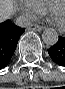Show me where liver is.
<instances>
[{"label":"liver","instance_id":"6515ba94","mask_svg":"<svg viewBox=\"0 0 65 89\" xmlns=\"http://www.w3.org/2000/svg\"><path fill=\"white\" fill-rule=\"evenodd\" d=\"M13 0H0V20L9 19L15 13Z\"/></svg>","mask_w":65,"mask_h":89}]
</instances>
